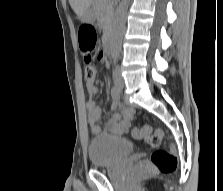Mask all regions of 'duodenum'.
Segmentation results:
<instances>
[{
	"label": "duodenum",
	"mask_w": 223,
	"mask_h": 191,
	"mask_svg": "<svg viewBox=\"0 0 223 191\" xmlns=\"http://www.w3.org/2000/svg\"><path fill=\"white\" fill-rule=\"evenodd\" d=\"M111 53V38L109 37V35L105 36L104 39V54L105 56L110 55Z\"/></svg>",
	"instance_id": "1"
}]
</instances>
